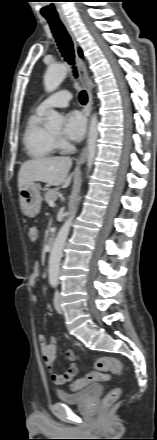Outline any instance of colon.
<instances>
[{"label":"colon","instance_id":"1","mask_svg":"<svg viewBox=\"0 0 157 440\" xmlns=\"http://www.w3.org/2000/svg\"><path fill=\"white\" fill-rule=\"evenodd\" d=\"M28 237L32 242H36L39 238V230L36 226H30L28 229ZM96 371L86 374L85 376L70 383L69 387L73 391L80 390L87 385L96 382L104 381L108 378V373L120 375L123 371L121 361L114 357H101L96 361ZM121 389L119 387L113 388L103 399L102 404L109 406L114 403L120 396Z\"/></svg>","mask_w":157,"mask_h":440}]
</instances>
